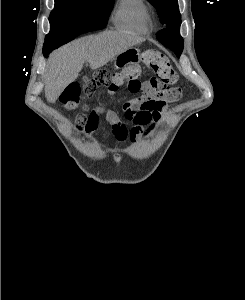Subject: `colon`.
I'll return each instance as SVG.
<instances>
[{"mask_svg": "<svg viewBox=\"0 0 245 300\" xmlns=\"http://www.w3.org/2000/svg\"><path fill=\"white\" fill-rule=\"evenodd\" d=\"M143 62L153 70L155 76L147 81L157 98L167 102H174L181 96V89L175 86L178 74L170 64L168 58L158 50H147L143 53ZM141 69L138 65H130L121 71L110 73L107 70H98L84 79V91L94 93L97 89L108 88L109 94H115L119 88L126 87L130 92L138 91L140 87L139 76ZM82 87L74 82L66 87L61 95V103L67 109L78 106Z\"/></svg>", "mask_w": 245, "mask_h": 300, "instance_id": "colon-1", "label": "colon"}]
</instances>
